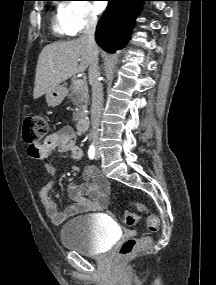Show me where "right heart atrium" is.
Here are the masks:
<instances>
[{
    "mask_svg": "<svg viewBox=\"0 0 216 285\" xmlns=\"http://www.w3.org/2000/svg\"><path fill=\"white\" fill-rule=\"evenodd\" d=\"M58 14L67 35L93 28L98 22L94 8L87 0H67L59 6Z\"/></svg>",
    "mask_w": 216,
    "mask_h": 285,
    "instance_id": "1",
    "label": "right heart atrium"
}]
</instances>
